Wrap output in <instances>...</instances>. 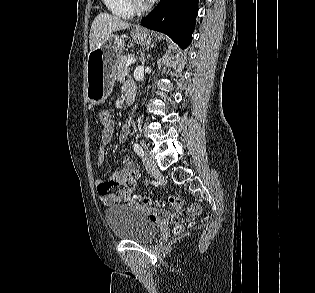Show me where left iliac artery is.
I'll return each instance as SVG.
<instances>
[{"label":"left iliac artery","instance_id":"left-iliac-artery-1","mask_svg":"<svg viewBox=\"0 0 315 293\" xmlns=\"http://www.w3.org/2000/svg\"><path fill=\"white\" fill-rule=\"evenodd\" d=\"M133 148H134V151H135L139 156H143V155H144L143 148L141 147V145H140L139 143H134Z\"/></svg>","mask_w":315,"mask_h":293}]
</instances>
